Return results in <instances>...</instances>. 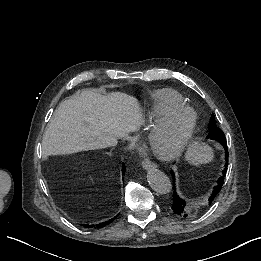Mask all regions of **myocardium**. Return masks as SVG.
I'll list each match as a JSON object with an SVG mask.
<instances>
[{
    "mask_svg": "<svg viewBox=\"0 0 261 261\" xmlns=\"http://www.w3.org/2000/svg\"><path fill=\"white\" fill-rule=\"evenodd\" d=\"M175 113H184L188 116V123H187L186 131H185L181 144L175 150H173L171 152H167V153H157V152L152 151L149 148L148 143H147V139H148L151 129L155 125H157L159 122H161L165 118H167ZM196 124H197V114L191 107H188L185 105L170 106L157 114L145 117L141 121L140 129H139L140 137L151 156H153L159 160L171 161V160L179 158L180 156H182L185 153V151L187 150L189 143L192 139Z\"/></svg>",
    "mask_w": 261,
    "mask_h": 261,
    "instance_id": "f54148a6",
    "label": "myocardium"
}]
</instances>
